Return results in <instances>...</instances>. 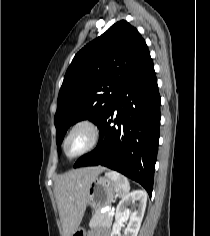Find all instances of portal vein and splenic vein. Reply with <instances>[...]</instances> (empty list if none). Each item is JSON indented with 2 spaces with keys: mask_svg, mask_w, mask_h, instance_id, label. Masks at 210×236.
Instances as JSON below:
<instances>
[{
  "mask_svg": "<svg viewBox=\"0 0 210 236\" xmlns=\"http://www.w3.org/2000/svg\"><path fill=\"white\" fill-rule=\"evenodd\" d=\"M109 214H110V215H113V214H114V212H113V211H109Z\"/></svg>",
  "mask_w": 210,
  "mask_h": 236,
  "instance_id": "1",
  "label": "portal vein and splenic vein"
}]
</instances>
